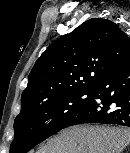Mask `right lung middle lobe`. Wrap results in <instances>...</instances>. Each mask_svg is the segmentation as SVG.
Masks as SVG:
<instances>
[{
	"instance_id": "1",
	"label": "right lung middle lobe",
	"mask_w": 130,
	"mask_h": 153,
	"mask_svg": "<svg viewBox=\"0 0 130 153\" xmlns=\"http://www.w3.org/2000/svg\"><path fill=\"white\" fill-rule=\"evenodd\" d=\"M92 91L69 93L18 115L10 153H27L37 144L63 129L66 122L92 98Z\"/></svg>"
}]
</instances>
